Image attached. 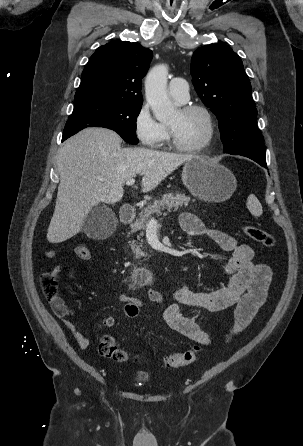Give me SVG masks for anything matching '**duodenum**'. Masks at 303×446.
<instances>
[{
    "mask_svg": "<svg viewBox=\"0 0 303 446\" xmlns=\"http://www.w3.org/2000/svg\"><path fill=\"white\" fill-rule=\"evenodd\" d=\"M135 218V211L131 207H123L120 211V220L124 224L131 223ZM137 280L140 282H148L151 278V274L148 270L138 269L136 272Z\"/></svg>",
    "mask_w": 303,
    "mask_h": 446,
    "instance_id": "410a0bca",
    "label": "duodenum"
}]
</instances>
